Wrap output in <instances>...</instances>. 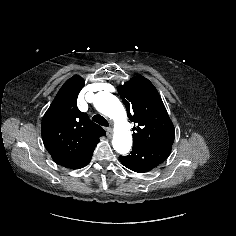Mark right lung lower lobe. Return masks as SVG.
I'll list each match as a JSON object with an SVG mask.
<instances>
[{"label": "right lung lower lobe", "mask_w": 236, "mask_h": 236, "mask_svg": "<svg viewBox=\"0 0 236 236\" xmlns=\"http://www.w3.org/2000/svg\"><path fill=\"white\" fill-rule=\"evenodd\" d=\"M93 151H90L85 156H83L80 159L72 162L71 164L66 166V168H69V169H79V168H82V167L86 166L90 162V160H91Z\"/></svg>", "instance_id": "right-lung-lower-lobe-1"}]
</instances>
